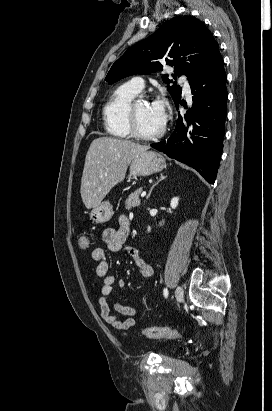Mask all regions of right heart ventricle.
I'll return each instance as SVG.
<instances>
[{
  "label": "right heart ventricle",
  "instance_id": "obj_1",
  "mask_svg": "<svg viewBox=\"0 0 272 411\" xmlns=\"http://www.w3.org/2000/svg\"><path fill=\"white\" fill-rule=\"evenodd\" d=\"M138 93L130 83H124L111 94L102 110L104 126L108 134L118 138L130 136L127 108Z\"/></svg>",
  "mask_w": 272,
  "mask_h": 411
}]
</instances>
